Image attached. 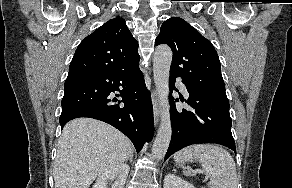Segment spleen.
I'll use <instances>...</instances> for the list:
<instances>
[{
  "mask_svg": "<svg viewBox=\"0 0 292 188\" xmlns=\"http://www.w3.org/2000/svg\"><path fill=\"white\" fill-rule=\"evenodd\" d=\"M199 159L207 178L209 188H237L235 162L228 151L215 144H195L174 154L176 163ZM185 175H192L184 172Z\"/></svg>",
  "mask_w": 292,
  "mask_h": 188,
  "instance_id": "spleen-1",
  "label": "spleen"
}]
</instances>
